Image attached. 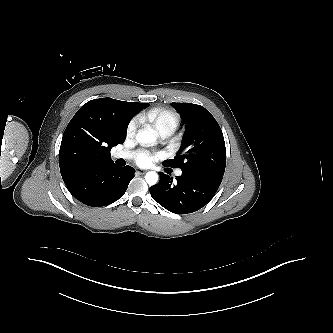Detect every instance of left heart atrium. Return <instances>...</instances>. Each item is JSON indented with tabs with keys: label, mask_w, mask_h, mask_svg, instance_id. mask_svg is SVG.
I'll use <instances>...</instances> for the list:
<instances>
[{
	"label": "left heart atrium",
	"mask_w": 333,
	"mask_h": 333,
	"mask_svg": "<svg viewBox=\"0 0 333 333\" xmlns=\"http://www.w3.org/2000/svg\"><path fill=\"white\" fill-rule=\"evenodd\" d=\"M156 154H152L148 151L140 150L136 153L135 161L140 166H148L150 165L155 159H157Z\"/></svg>",
	"instance_id": "left-heart-atrium-1"
}]
</instances>
